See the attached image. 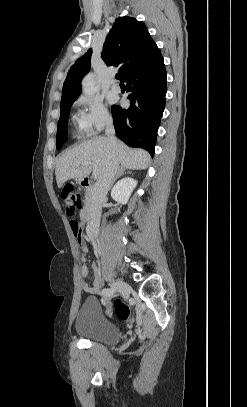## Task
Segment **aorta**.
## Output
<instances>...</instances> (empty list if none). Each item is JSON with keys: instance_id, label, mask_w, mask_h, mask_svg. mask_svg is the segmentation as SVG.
<instances>
[{"instance_id": "aorta-1", "label": "aorta", "mask_w": 247, "mask_h": 407, "mask_svg": "<svg viewBox=\"0 0 247 407\" xmlns=\"http://www.w3.org/2000/svg\"><path fill=\"white\" fill-rule=\"evenodd\" d=\"M83 93L87 96H93L98 91L95 77L92 73L88 74L82 82Z\"/></svg>"}]
</instances>
